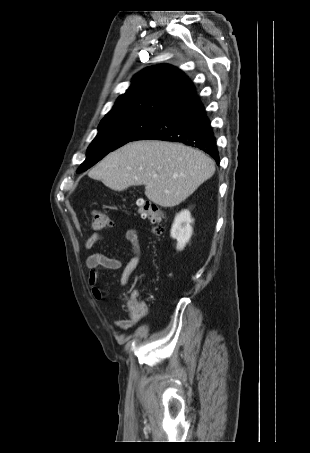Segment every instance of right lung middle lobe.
Wrapping results in <instances>:
<instances>
[{"label":"right lung middle lobe","instance_id":"right-lung-middle-lobe-1","mask_svg":"<svg viewBox=\"0 0 310 453\" xmlns=\"http://www.w3.org/2000/svg\"><path fill=\"white\" fill-rule=\"evenodd\" d=\"M158 116L145 114H122L102 119L98 134L87 150V157L77 173L93 166L109 152L127 142L134 141Z\"/></svg>","mask_w":310,"mask_h":453}]
</instances>
